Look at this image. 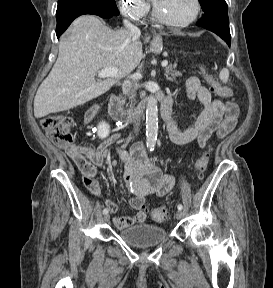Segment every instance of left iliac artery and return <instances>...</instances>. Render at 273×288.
Returning <instances> with one entry per match:
<instances>
[{"label":"left iliac artery","mask_w":273,"mask_h":288,"mask_svg":"<svg viewBox=\"0 0 273 288\" xmlns=\"http://www.w3.org/2000/svg\"><path fill=\"white\" fill-rule=\"evenodd\" d=\"M177 208H178V210H182L183 209L182 204H178Z\"/></svg>","instance_id":"obj_1"}]
</instances>
